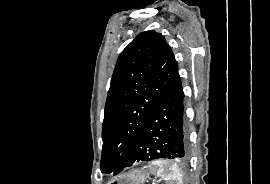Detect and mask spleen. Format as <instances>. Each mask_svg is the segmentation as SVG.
Segmentation results:
<instances>
[{"mask_svg": "<svg viewBox=\"0 0 270 184\" xmlns=\"http://www.w3.org/2000/svg\"><path fill=\"white\" fill-rule=\"evenodd\" d=\"M150 173H156L167 184H182V174L176 164L170 166L164 165L161 161H154L151 165H148Z\"/></svg>", "mask_w": 270, "mask_h": 184, "instance_id": "obj_1", "label": "spleen"}]
</instances>
